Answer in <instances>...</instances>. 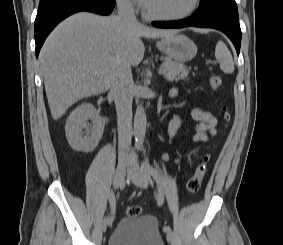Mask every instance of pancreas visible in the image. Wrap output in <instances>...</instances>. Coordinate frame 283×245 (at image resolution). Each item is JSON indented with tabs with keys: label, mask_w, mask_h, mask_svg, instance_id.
<instances>
[{
	"label": "pancreas",
	"mask_w": 283,
	"mask_h": 245,
	"mask_svg": "<svg viewBox=\"0 0 283 245\" xmlns=\"http://www.w3.org/2000/svg\"><path fill=\"white\" fill-rule=\"evenodd\" d=\"M162 60L163 74L168 81H178L179 79L187 78L189 71L184 64L166 57H163Z\"/></svg>",
	"instance_id": "cf45deb5"
}]
</instances>
